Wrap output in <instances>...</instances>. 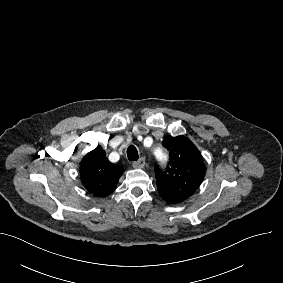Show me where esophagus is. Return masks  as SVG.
<instances>
[{
    "label": "esophagus",
    "mask_w": 283,
    "mask_h": 283,
    "mask_svg": "<svg viewBox=\"0 0 283 283\" xmlns=\"http://www.w3.org/2000/svg\"><path fill=\"white\" fill-rule=\"evenodd\" d=\"M146 161L143 157H141L139 160L133 162L132 166L136 169H141L145 166Z\"/></svg>",
    "instance_id": "obj_1"
}]
</instances>
